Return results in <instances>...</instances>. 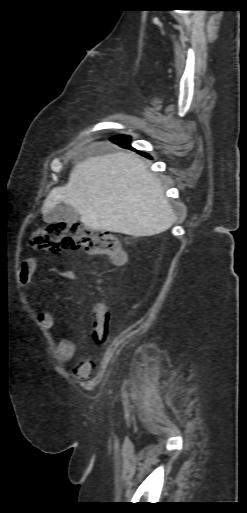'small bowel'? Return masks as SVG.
Returning a JSON list of instances; mask_svg holds the SVG:
<instances>
[{"mask_svg": "<svg viewBox=\"0 0 247 513\" xmlns=\"http://www.w3.org/2000/svg\"><path fill=\"white\" fill-rule=\"evenodd\" d=\"M36 270V262L32 259L24 260L19 269V278L20 282L27 286L29 282L31 281L34 273ZM55 277H58L60 279L65 280H72L75 276V274L70 270H63L59 271L58 273L54 274ZM91 315H93L91 313ZM37 318L42 325V327L50 331L55 326V318L54 316L49 312H40L37 315ZM76 347L74 342L71 339H61L56 345L54 349L56 360L59 363H66L70 361L73 356L75 355ZM92 370V365L89 362L82 361L80 362L74 370V375L76 378L83 379L87 378Z\"/></svg>", "mask_w": 247, "mask_h": 513, "instance_id": "small-bowel-1", "label": "small bowel"}]
</instances>
